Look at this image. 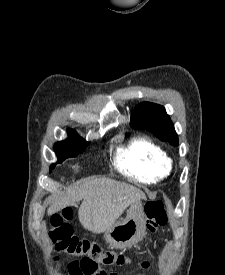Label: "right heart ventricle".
Segmentation results:
<instances>
[{"label":"right heart ventricle","mask_w":225,"mask_h":275,"mask_svg":"<svg viewBox=\"0 0 225 275\" xmlns=\"http://www.w3.org/2000/svg\"><path fill=\"white\" fill-rule=\"evenodd\" d=\"M114 161L121 173L145 184L162 180L172 170L166 151L145 136L133 137L119 146Z\"/></svg>","instance_id":"obj_1"}]
</instances>
